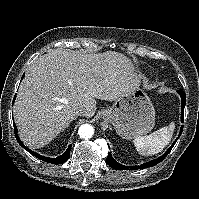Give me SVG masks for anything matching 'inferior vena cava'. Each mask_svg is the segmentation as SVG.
<instances>
[{
  "label": "inferior vena cava",
  "instance_id": "602c4592",
  "mask_svg": "<svg viewBox=\"0 0 199 199\" xmlns=\"http://www.w3.org/2000/svg\"><path fill=\"white\" fill-rule=\"evenodd\" d=\"M75 113L78 116H84V114H85V108H83V107H77Z\"/></svg>",
  "mask_w": 199,
  "mask_h": 199
}]
</instances>
